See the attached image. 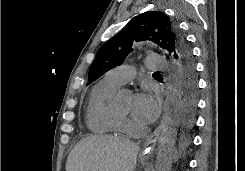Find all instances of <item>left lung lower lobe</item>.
<instances>
[{"mask_svg":"<svg viewBox=\"0 0 245 171\" xmlns=\"http://www.w3.org/2000/svg\"><path fill=\"white\" fill-rule=\"evenodd\" d=\"M195 61H175V76L178 79L180 89L183 93V123L189 127L193 121V113L196 106L197 83L195 78ZM190 143L189 136L182 134L180 146L185 150Z\"/></svg>","mask_w":245,"mask_h":171,"instance_id":"obj_1","label":"left lung lower lobe"}]
</instances>
